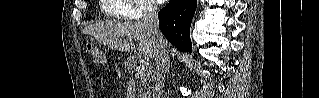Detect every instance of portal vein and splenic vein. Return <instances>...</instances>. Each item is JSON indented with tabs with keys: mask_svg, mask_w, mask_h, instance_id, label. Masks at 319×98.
Here are the masks:
<instances>
[{
	"mask_svg": "<svg viewBox=\"0 0 319 98\" xmlns=\"http://www.w3.org/2000/svg\"><path fill=\"white\" fill-rule=\"evenodd\" d=\"M152 67L149 64H143L142 66L137 68L139 74H150Z\"/></svg>",
	"mask_w": 319,
	"mask_h": 98,
	"instance_id": "18ae733b",
	"label": "portal vein and splenic vein"
}]
</instances>
